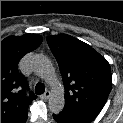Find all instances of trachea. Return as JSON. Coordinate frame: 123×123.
I'll return each instance as SVG.
<instances>
[{
  "label": "trachea",
  "mask_w": 123,
  "mask_h": 123,
  "mask_svg": "<svg viewBox=\"0 0 123 123\" xmlns=\"http://www.w3.org/2000/svg\"><path fill=\"white\" fill-rule=\"evenodd\" d=\"M45 92V86L42 83H38L35 87L36 94H43Z\"/></svg>",
  "instance_id": "1"
}]
</instances>
